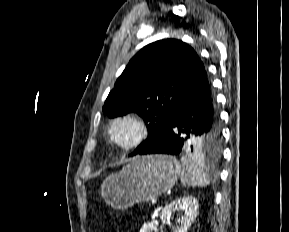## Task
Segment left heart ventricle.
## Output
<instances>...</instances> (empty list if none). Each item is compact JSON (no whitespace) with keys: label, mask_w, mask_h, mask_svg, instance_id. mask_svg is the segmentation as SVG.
<instances>
[{"label":"left heart ventricle","mask_w":289,"mask_h":232,"mask_svg":"<svg viewBox=\"0 0 289 232\" xmlns=\"http://www.w3.org/2000/svg\"><path fill=\"white\" fill-rule=\"evenodd\" d=\"M135 127L128 122L118 124L114 129V137L121 143L129 142L135 135Z\"/></svg>","instance_id":"1"}]
</instances>
